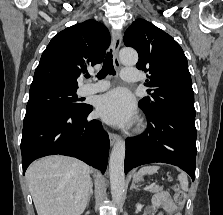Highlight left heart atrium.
I'll return each mask as SVG.
<instances>
[{"label": "left heart atrium", "mask_w": 223, "mask_h": 215, "mask_svg": "<svg viewBox=\"0 0 223 215\" xmlns=\"http://www.w3.org/2000/svg\"><path fill=\"white\" fill-rule=\"evenodd\" d=\"M97 110L108 123L125 125L134 119L135 101L127 90L118 88L99 97Z\"/></svg>", "instance_id": "1"}]
</instances>
